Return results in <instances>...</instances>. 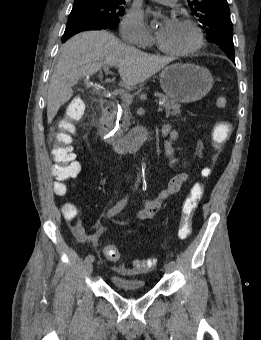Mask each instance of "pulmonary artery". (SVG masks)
<instances>
[{"label": "pulmonary artery", "mask_w": 261, "mask_h": 340, "mask_svg": "<svg viewBox=\"0 0 261 340\" xmlns=\"http://www.w3.org/2000/svg\"><path fill=\"white\" fill-rule=\"evenodd\" d=\"M155 2L161 3V4H170L175 2L176 0H154Z\"/></svg>", "instance_id": "e3ab8cb5"}]
</instances>
